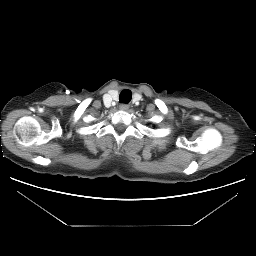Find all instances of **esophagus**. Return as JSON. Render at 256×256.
Returning a JSON list of instances; mask_svg holds the SVG:
<instances>
[{"instance_id": "1", "label": "esophagus", "mask_w": 256, "mask_h": 256, "mask_svg": "<svg viewBox=\"0 0 256 256\" xmlns=\"http://www.w3.org/2000/svg\"><path fill=\"white\" fill-rule=\"evenodd\" d=\"M119 108H120L121 110L125 111V110H127V109L129 108V105H128V104H121V105L119 106Z\"/></svg>"}]
</instances>
